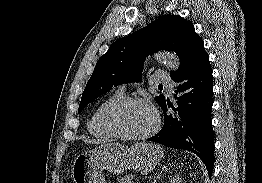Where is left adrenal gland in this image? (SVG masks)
Wrapping results in <instances>:
<instances>
[{
    "mask_svg": "<svg viewBox=\"0 0 262 183\" xmlns=\"http://www.w3.org/2000/svg\"><path fill=\"white\" fill-rule=\"evenodd\" d=\"M167 170V166H165V165H163L162 167H161V172L156 176V178L153 180V182H151V183H156V181L160 178V176H161V174L164 172V171H166Z\"/></svg>",
    "mask_w": 262,
    "mask_h": 183,
    "instance_id": "left-adrenal-gland-1",
    "label": "left adrenal gland"
}]
</instances>
